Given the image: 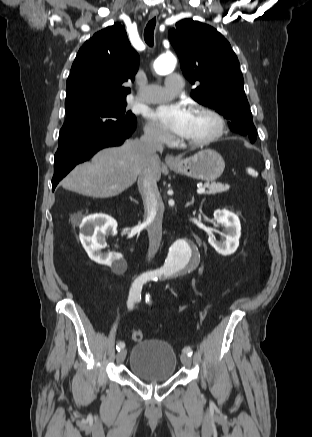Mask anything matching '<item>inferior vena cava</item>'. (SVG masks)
I'll return each instance as SVG.
<instances>
[{"label": "inferior vena cava", "instance_id": "obj_1", "mask_svg": "<svg viewBox=\"0 0 312 437\" xmlns=\"http://www.w3.org/2000/svg\"><path fill=\"white\" fill-rule=\"evenodd\" d=\"M140 143L146 166L143 174L138 177V189L142 196L145 210V220L149 237L147 258L150 261L157 253L162 239L164 204L158 191L153 168L158 159L156 152L163 151V142L157 131L148 130L141 136Z\"/></svg>", "mask_w": 312, "mask_h": 437}]
</instances>
